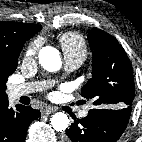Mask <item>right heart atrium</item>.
<instances>
[{
    "label": "right heart atrium",
    "mask_w": 142,
    "mask_h": 142,
    "mask_svg": "<svg viewBox=\"0 0 142 142\" xmlns=\"http://www.w3.org/2000/svg\"><path fill=\"white\" fill-rule=\"evenodd\" d=\"M41 44L42 42L40 39L32 41L25 49L23 61L24 62L34 61L37 57Z\"/></svg>",
    "instance_id": "1"
}]
</instances>
